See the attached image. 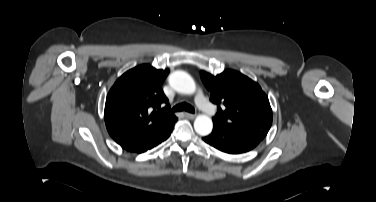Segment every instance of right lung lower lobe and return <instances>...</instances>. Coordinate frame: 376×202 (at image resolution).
Returning a JSON list of instances; mask_svg holds the SVG:
<instances>
[{
	"label": "right lung lower lobe",
	"instance_id": "98d812e1",
	"mask_svg": "<svg viewBox=\"0 0 376 202\" xmlns=\"http://www.w3.org/2000/svg\"><path fill=\"white\" fill-rule=\"evenodd\" d=\"M176 121H177V118L174 117L166 127L155 132L151 137L145 139L144 141L140 143H137L133 146H130L124 149L130 152L142 153L157 146L158 144L165 141L170 136L172 129L174 127V123Z\"/></svg>",
	"mask_w": 376,
	"mask_h": 202
}]
</instances>
